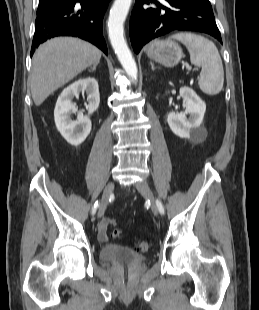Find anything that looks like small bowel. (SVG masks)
<instances>
[{
	"mask_svg": "<svg viewBox=\"0 0 259 310\" xmlns=\"http://www.w3.org/2000/svg\"><path fill=\"white\" fill-rule=\"evenodd\" d=\"M97 235H98V239L101 242L108 241L107 225L104 221L100 222V224L98 225Z\"/></svg>",
	"mask_w": 259,
	"mask_h": 310,
	"instance_id": "1",
	"label": "small bowel"
}]
</instances>
